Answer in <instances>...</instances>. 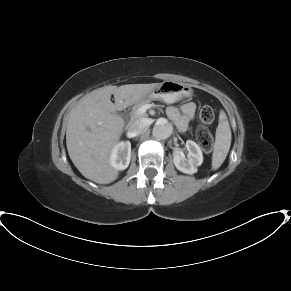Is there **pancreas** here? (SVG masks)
<instances>
[{
	"label": "pancreas",
	"mask_w": 291,
	"mask_h": 291,
	"mask_svg": "<svg viewBox=\"0 0 291 291\" xmlns=\"http://www.w3.org/2000/svg\"><path fill=\"white\" fill-rule=\"evenodd\" d=\"M151 100H152V99H150V98H146V99H142L141 101L137 102V103L132 107L131 118H132V119H136V118H139V117L143 116V115H138V114H137V111H138V109H139L141 106L150 103Z\"/></svg>",
	"instance_id": "pancreas-1"
}]
</instances>
